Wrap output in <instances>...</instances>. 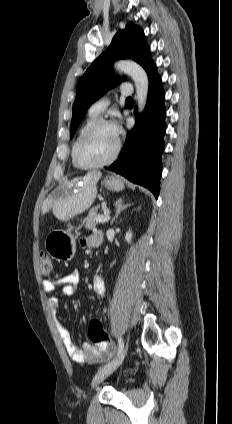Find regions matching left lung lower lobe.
<instances>
[{
    "label": "left lung lower lobe",
    "instance_id": "1",
    "mask_svg": "<svg viewBox=\"0 0 232 424\" xmlns=\"http://www.w3.org/2000/svg\"><path fill=\"white\" fill-rule=\"evenodd\" d=\"M149 91L145 110L136 113V125L121 150L120 157L108 169L148 188L156 198L162 172L164 151L165 94L156 66L148 74Z\"/></svg>",
    "mask_w": 232,
    "mask_h": 424
}]
</instances>
